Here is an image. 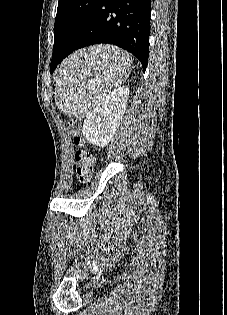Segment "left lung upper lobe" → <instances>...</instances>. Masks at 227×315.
<instances>
[{"label":"left lung upper lobe","instance_id":"5c2ea615","mask_svg":"<svg viewBox=\"0 0 227 315\" xmlns=\"http://www.w3.org/2000/svg\"><path fill=\"white\" fill-rule=\"evenodd\" d=\"M102 0H59L53 52L63 51L90 19Z\"/></svg>","mask_w":227,"mask_h":315}]
</instances>
